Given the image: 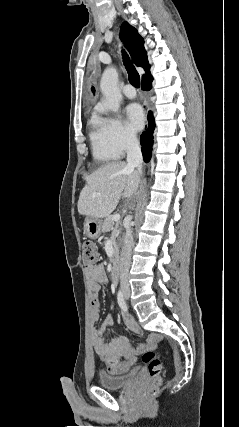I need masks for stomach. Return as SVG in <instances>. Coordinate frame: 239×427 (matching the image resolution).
I'll return each mask as SVG.
<instances>
[{
  "label": "stomach",
  "mask_w": 239,
  "mask_h": 427,
  "mask_svg": "<svg viewBox=\"0 0 239 427\" xmlns=\"http://www.w3.org/2000/svg\"><path fill=\"white\" fill-rule=\"evenodd\" d=\"M84 232L90 239H97L102 232L101 220L87 217L84 222Z\"/></svg>",
  "instance_id": "stomach-1"
}]
</instances>
